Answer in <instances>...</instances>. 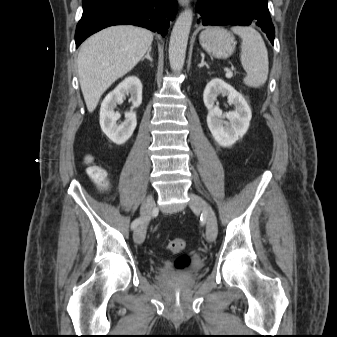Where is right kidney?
Masks as SVG:
<instances>
[{
    "label": "right kidney",
    "instance_id": "ca27d5eb",
    "mask_svg": "<svg viewBox=\"0 0 337 337\" xmlns=\"http://www.w3.org/2000/svg\"><path fill=\"white\" fill-rule=\"evenodd\" d=\"M129 94L133 104L132 109L139 107L142 103V84L135 76L125 78L105 97L100 108L101 129L112 142L118 145L124 144L132 136L137 125L134 111L126 112L124 122L117 124L120 114L114 109Z\"/></svg>",
    "mask_w": 337,
    "mask_h": 337
}]
</instances>
